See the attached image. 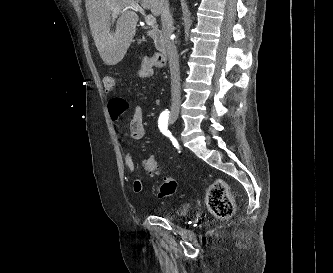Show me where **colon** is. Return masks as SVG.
I'll return each mask as SVG.
<instances>
[{"instance_id": "5ec220e1", "label": "colon", "mask_w": 333, "mask_h": 273, "mask_svg": "<svg viewBox=\"0 0 333 273\" xmlns=\"http://www.w3.org/2000/svg\"><path fill=\"white\" fill-rule=\"evenodd\" d=\"M150 64L153 67H161L164 65V58L159 54H154L149 57ZM104 86L109 91L116 89L115 79L107 77L104 79ZM144 170L151 176L162 174V168L158 161L153 158H147L143 162ZM177 190L176 181L169 175H164L162 180L157 185L158 195L161 197L171 196ZM206 202L210 212L220 219H226L234 213V201L230 193L228 184L217 179L213 181L207 188Z\"/></svg>"}]
</instances>
